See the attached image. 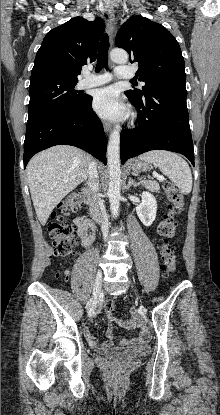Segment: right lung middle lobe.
I'll return each instance as SVG.
<instances>
[{
  "label": "right lung middle lobe",
  "mask_w": 220,
  "mask_h": 415,
  "mask_svg": "<svg viewBox=\"0 0 220 415\" xmlns=\"http://www.w3.org/2000/svg\"><path fill=\"white\" fill-rule=\"evenodd\" d=\"M77 82L58 78H38L29 86V118L53 107L75 109L85 96L74 89Z\"/></svg>",
  "instance_id": "1"
}]
</instances>
